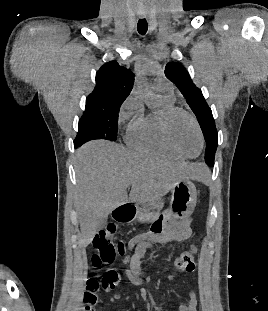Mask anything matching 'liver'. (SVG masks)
<instances>
[{
  "mask_svg": "<svg viewBox=\"0 0 268 311\" xmlns=\"http://www.w3.org/2000/svg\"><path fill=\"white\" fill-rule=\"evenodd\" d=\"M76 212L79 244L86 247L110 212L126 203H146L165 196L185 179H199L201 164L175 163L136 154L105 140L84 144L76 152ZM132 185L129 197L127 188Z\"/></svg>",
  "mask_w": 268,
  "mask_h": 311,
  "instance_id": "obj_1",
  "label": "liver"
}]
</instances>
